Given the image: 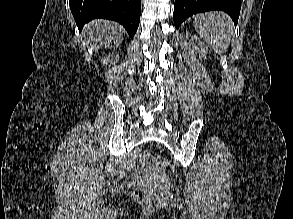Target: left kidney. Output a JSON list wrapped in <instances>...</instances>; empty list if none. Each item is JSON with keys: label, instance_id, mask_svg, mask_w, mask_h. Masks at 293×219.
I'll use <instances>...</instances> for the list:
<instances>
[{"label": "left kidney", "instance_id": "5707ae66", "mask_svg": "<svg viewBox=\"0 0 293 219\" xmlns=\"http://www.w3.org/2000/svg\"><path fill=\"white\" fill-rule=\"evenodd\" d=\"M192 47L199 53L201 54L203 57H206V54L208 52V49L206 46H204L203 43L201 42H191Z\"/></svg>", "mask_w": 293, "mask_h": 219}]
</instances>
